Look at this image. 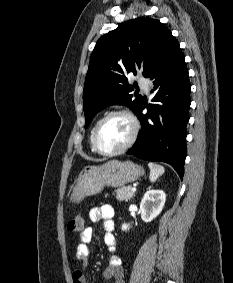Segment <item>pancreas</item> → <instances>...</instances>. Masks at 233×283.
I'll return each mask as SVG.
<instances>
[{"label":"pancreas","mask_w":233,"mask_h":283,"mask_svg":"<svg viewBox=\"0 0 233 283\" xmlns=\"http://www.w3.org/2000/svg\"><path fill=\"white\" fill-rule=\"evenodd\" d=\"M131 186H124L115 190V195L117 200L119 201H129L135 195L134 192L131 191Z\"/></svg>","instance_id":"pancreas-1"}]
</instances>
